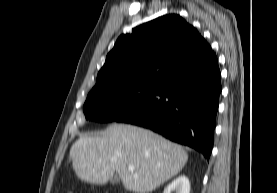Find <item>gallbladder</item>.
I'll use <instances>...</instances> for the list:
<instances>
[{
	"label": "gallbladder",
	"mask_w": 277,
	"mask_h": 193,
	"mask_svg": "<svg viewBox=\"0 0 277 193\" xmlns=\"http://www.w3.org/2000/svg\"><path fill=\"white\" fill-rule=\"evenodd\" d=\"M120 182V178L118 176H113L111 179H110V183L111 184H117Z\"/></svg>",
	"instance_id": "obj_1"
}]
</instances>
